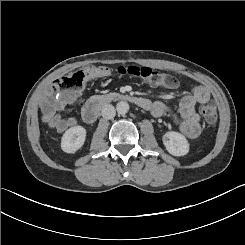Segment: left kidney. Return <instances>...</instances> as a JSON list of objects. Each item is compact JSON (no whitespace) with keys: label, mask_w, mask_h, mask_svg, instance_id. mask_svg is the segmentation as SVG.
Masks as SVG:
<instances>
[{"label":"left kidney","mask_w":245,"mask_h":245,"mask_svg":"<svg viewBox=\"0 0 245 245\" xmlns=\"http://www.w3.org/2000/svg\"><path fill=\"white\" fill-rule=\"evenodd\" d=\"M163 144L169 154L182 157L189 153L190 144L187 138L177 131H168L162 137Z\"/></svg>","instance_id":"obj_1"}]
</instances>
